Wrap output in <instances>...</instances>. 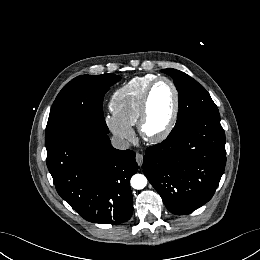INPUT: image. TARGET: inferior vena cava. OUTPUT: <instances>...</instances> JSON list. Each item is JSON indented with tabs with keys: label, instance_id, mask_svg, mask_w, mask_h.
I'll list each match as a JSON object with an SVG mask.
<instances>
[{
	"label": "inferior vena cava",
	"instance_id": "602c4592",
	"mask_svg": "<svg viewBox=\"0 0 260 260\" xmlns=\"http://www.w3.org/2000/svg\"><path fill=\"white\" fill-rule=\"evenodd\" d=\"M111 144L114 148L119 149V150H126V149H129V147H130L129 141H127L121 137H116V136L112 137Z\"/></svg>",
	"mask_w": 260,
	"mask_h": 260
}]
</instances>
